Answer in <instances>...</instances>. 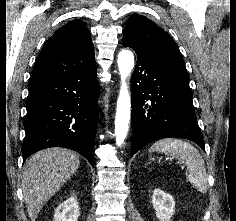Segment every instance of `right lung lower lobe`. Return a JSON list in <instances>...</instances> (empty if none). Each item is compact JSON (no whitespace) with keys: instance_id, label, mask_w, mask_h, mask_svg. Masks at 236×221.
I'll return each instance as SVG.
<instances>
[{"instance_id":"obj_1","label":"right lung lower lobe","mask_w":236,"mask_h":221,"mask_svg":"<svg viewBox=\"0 0 236 221\" xmlns=\"http://www.w3.org/2000/svg\"><path fill=\"white\" fill-rule=\"evenodd\" d=\"M23 161L49 147L79 152L94 165L99 84L96 69L28 84Z\"/></svg>"}]
</instances>
